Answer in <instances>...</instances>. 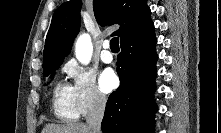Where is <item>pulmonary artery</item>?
I'll use <instances>...</instances> for the list:
<instances>
[{
	"label": "pulmonary artery",
	"instance_id": "1",
	"mask_svg": "<svg viewBox=\"0 0 221 133\" xmlns=\"http://www.w3.org/2000/svg\"><path fill=\"white\" fill-rule=\"evenodd\" d=\"M103 50L101 51L100 57L104 63H111L113 61V54L110 51V43L109 41L103 42Z\"/></svg>",
	"mask_w": 221,
	"mask_h": 133
}]
</instances>
